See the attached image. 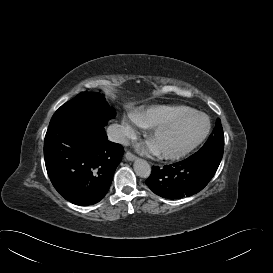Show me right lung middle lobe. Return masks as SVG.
Returning a JSON list of instances; mask_svg holds the SVG:
<instances>
[{
    "label": "right lung middle lobe",
    "instance_id": "1",
    "mask_svg": "<svg viewBox=\"0 0 273 273\" xmlns=\"http://www.w3.org/2000/svg\"><path fill=\"white\" fill-rule=\"evenodd\" d=\"M115 110L111 108L105 98L96 92H83L74 99L61 106L53 115H67L70 117L106 125L115 117Z\"/></svg>",
    "mask_w": 273,
    "mask_h": 273
}]
</instances>
